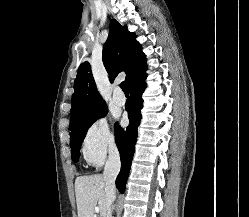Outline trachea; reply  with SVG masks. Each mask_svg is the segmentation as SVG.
I'll return each mask as SVG.
<instances>
[{
	"label": "trachea",
	"mask_w": 249,
	"mask_h": 217,
	"mask_svg": "<svg viewBox=\"0 0 249 217\" xmlns=\"http://www.w3.org/2000/svg\"><path fill=\"white\" fill-rule=\"evenodd\" d=\"M120 87H121V89L123 90V92H124L125 94H129L128 86H127V82H126V81H123V82L120 84Z\"/></svg>",
	"instance_id": "1"
}]
</instances>
